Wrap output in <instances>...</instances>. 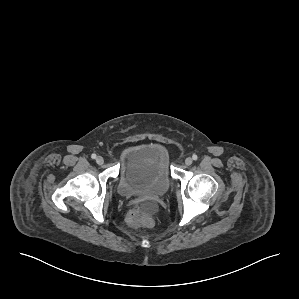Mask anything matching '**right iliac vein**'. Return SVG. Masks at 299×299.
<instances>
[{"instance_id": "obj_1", "label": "right iliac vein", "mask_w": 299, "mask_h": 299, "mask_svg": "<svg viewBox=\"0 0 299 299\" xmlns=\"http://www.w3.org/2000/svg\"><path fill=\"white\" fill-rule=\"evenodd\" d=\"M96 163H97L98 165H102V164L104 163V159H103V157L98 156V157L96 158Z\"/></svg>"}]
</instances>
